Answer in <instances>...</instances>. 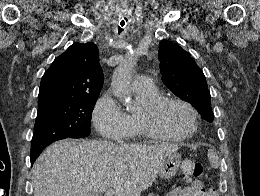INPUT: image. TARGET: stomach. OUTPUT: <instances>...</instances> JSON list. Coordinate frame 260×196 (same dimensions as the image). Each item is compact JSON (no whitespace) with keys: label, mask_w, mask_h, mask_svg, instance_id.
I'll list each match as a JSON object with an SVG mask.
<instances>
[{"label":"stomach","mask_w":260,"mask_h":196,"mask_svg":"<svg viewBox=\"0 0 260 196\" xmlns=\"http://www.w3.org/2000/svg\"><path fill=\"white\" fill-rule=\"evenodd\" d=\"M180 160V154H172V156L165 158L159 170L160 178H163V180H172L180 166Z\"/></svg>","instance_id":"obj_1"}]
</instances>
